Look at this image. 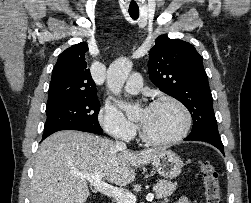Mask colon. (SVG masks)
Instances as JSON below:
<instances>
[{
	"label": "colon",
	"instance_id": "colon-1",
	"mask_svg": "<svg viewBox=\"0 0 251 203\" xmlns=\"http://www.w3.org/2000/svg\"><path fill=\"white\" fill-rule=\"evenodd\" d=\"M199 169L203 177L205 203H221L219 175L216 168L209 161H201Z\"/></svg>",
	"mask_w": 251,
	"mask_h": 203
}]
</instances>
